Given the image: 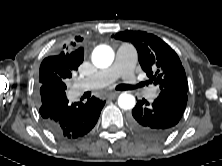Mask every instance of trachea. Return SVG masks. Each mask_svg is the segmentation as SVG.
<instances>
[{"label": "trachea", "instance_id": "obj_1", "mask_svg": "<svg viewBox=\"0 0 222 166\" xmlns=\"http://www.w3.org/2000/svg\"><path fill=\"white\" fill-rule=\"evenodd\" d=\"M143 85H144L143 83H141L137 86H130V85L121 84L116 87V90H132V89H135L136 87H141Z\"/></svg>", "mask_w": 222, "mask_h": 166}]
</instances>
